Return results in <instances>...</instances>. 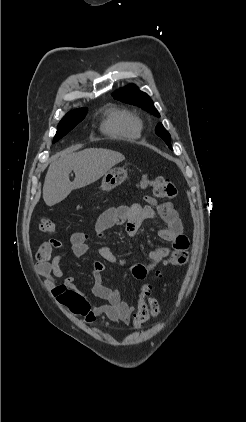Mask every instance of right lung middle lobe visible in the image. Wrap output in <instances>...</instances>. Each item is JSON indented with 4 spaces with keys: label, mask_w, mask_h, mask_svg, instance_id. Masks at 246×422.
I'll return each instance as SVG.
<instances>
[{
    "label": "right lung middle lobe",
    "mask_w": 246,
    "mask_h": 422,
    "mask_svg": "<svg viewBox=\"0 0 246 422\" xmlns=\"http://www.w3.org/2000/svg\"><path fill=\"white\" fill-rule=\"evenodd\" d=\"M86 113L87 108H79L66 114V116L61 120L58 125L57 133L54 137L53 142L58 141L69 131H71L78 123H80L85 118Z\"/></svg>",
    "instance_id": "obj_1"
}]
</instances>
